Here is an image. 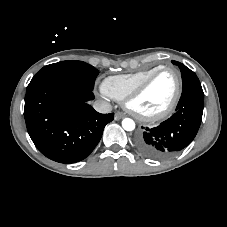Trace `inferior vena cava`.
<instances>
[{"instance_id": "inferior-vena-cava-1", "label": "inferior vena cava", "mask_w": 227, "mask_h": 227, "mask_svg": "<svg viewBox=\"0 0 227 227\" xmlns=\"http://www.w3.org/2000/svg\"><path fill=\"white\" fill-rule=\"evenodd\" d=\"M94 109L99 113H110L112 110V106L110 103L104 100H97L93 104Z\"/></svg>"}]
</instances>
